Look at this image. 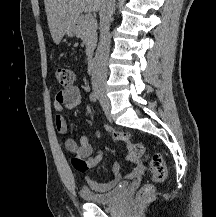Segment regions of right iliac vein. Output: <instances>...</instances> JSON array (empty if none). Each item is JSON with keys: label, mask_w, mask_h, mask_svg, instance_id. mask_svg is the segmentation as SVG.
<instances>
[{"label": "right iliac vein", "mask_w": 216, "mask_h": 217, "mask_svg": "<svg viewBox=\"0 0 216 217\" xmlns=\"http://www.w3.org/2000/svg\"><path fill=\"white\" fill-rule=\"evenodd\" d=\"M94 92L97 95V97L100 99L103 107L108 110L109 109V100L106 96V90L103 87H95Z\"/></svg>", "instance_id": "obj_1"}]
</instances>
